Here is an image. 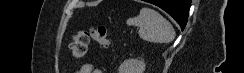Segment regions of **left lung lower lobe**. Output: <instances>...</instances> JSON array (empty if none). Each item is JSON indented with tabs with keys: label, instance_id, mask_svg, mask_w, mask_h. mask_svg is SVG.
I'll use <instances>...</instances> for the list:
<instances>
[{
	"label": "left lung lower lobe",
	"instance_id": "obj_1",
	"mask_svg": "<svg viewBox=\"0 0 244 73\" xmlns=\"http://www.w3.org/2000/svg\"><path fill=\"white\" fill-rule=\"evenodd\" d=\"M146 2L152 3L166 11L182 29L186 26L191 0H148Z\"/></svg>",
	"mask_w": 244,
	"mask_h": 73
}]
</instances>
